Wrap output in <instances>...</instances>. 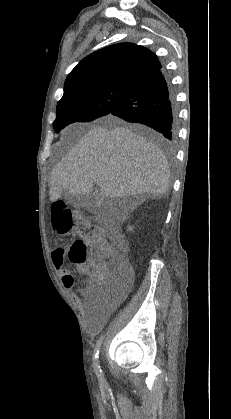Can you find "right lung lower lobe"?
Masks as SVG:
<instances>
[{
	"label": "right lung lower lobe",
	"mask_w": 231,
	"mask_h": 419,
	"mask_svg": "<svg viewBox=\"0 0 231 419\" xmlns=\"http://www.w3.org/2000/svg\"><path fill=\"white\" fill-rule=\"evenodd\" d=\"M109 115L148 125L169 142L176 140L178 113L175 94L161 67L138 80Z\"/></svg>",
	"instance_id": "1"
}]
</instances>
